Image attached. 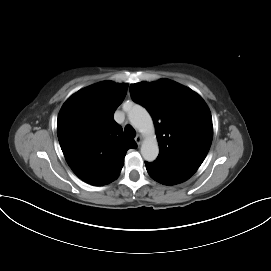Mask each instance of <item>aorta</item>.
I'll use <instances>...</instances> for the list:
<instances>
[{
	"mask_svg": "<svg viewBox=\"0 0 271 271\" xmlns=\"http://www.w3.org/2000/svg\"><path fill=\"white\" fill-rule=\"evenodd\" d=\"M130 123L145 135L141 145V155L148 162L154 161L159 154L153 120L148 111L140 105H133L128 111Z\"/></svg>",
	"mask_w": 271,
	"mask_h": 271,
	"instance_id": "aorta-1",
	"label": "aorta"
}]
</instances>
